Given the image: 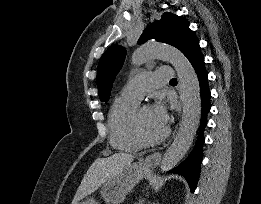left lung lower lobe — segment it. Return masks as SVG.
Listing matches in <instances>:
<instances>
[{
  "mask_svg": "<svg viewBox=\"0 0 261 204\" xmlns=\"http://www.w3.org/2000/svg\"><path fill=\"white\" fill-rule=\"evenodd\" d=\"M183 54L192 64L200 85L201 96V120L199 134L194 149L188 158L171 172L181 174L189 183L191 192H194L200 175V164L202 161V144L204 142L203 132L207 125V113L210 110V91L208 86L207 72L204 67V57L201 54L199 41L194 36L186 46Z\"/></svg>",
  "mask_w": 261,
  "mask_h": 204,
  "instance_id": "1",
  "label": "left lung lower lobe"
}]
</instances>
